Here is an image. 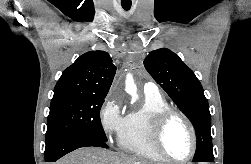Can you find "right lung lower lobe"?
<instances>
[{
	"label": "right lung lower lobe",
	"instance_id": "obj_1",
	"mask_svg": "<svg viewBox=\"0 0 251 164\" xmlns=\"http://www.w3.org/2000/svg\"><path fill=\"white\" fill-rule=\"evenodd\" d=\"M108 148L106 142L88 135L61 134L46 141L45 162H55L67 153L81 147Z\"/></svg>",
	"mask_w": 251,
	"mask_h": 164
}]
</instances>
